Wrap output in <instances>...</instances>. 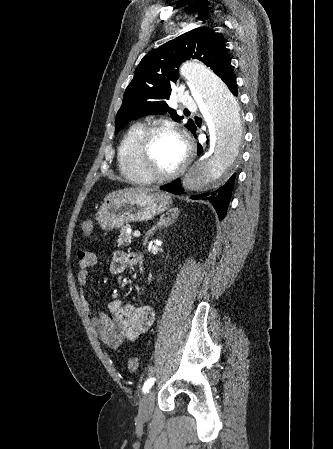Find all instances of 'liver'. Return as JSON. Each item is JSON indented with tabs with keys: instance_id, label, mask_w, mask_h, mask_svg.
<instances>
[{
	"instance_id": "6515ba94",
	"label": "liver",
	"mask_w": 333,
	"mask_h": 449,
	"mask_svg": "<svg viewBox=\"0 0 333 449\" xmlns=\"http://www.w3.org/2000/svg\"><path fill=\"white\" fill-rule=\"evenodd\" d=\"M131 192H148V191L144 190V189L125 188V189H121V190H117V191H113V192L109 193L108 195H106L105 200H110V199L119 197L123 194L131 193Z\"/></svg>"
}]
</instances>
